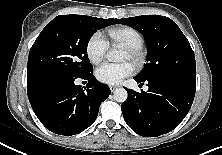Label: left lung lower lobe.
<instances>
[{
    "mask_svg": "<svg viewBox=\"0 0 222 155\" xmlns=\"http://www.w3.org/2000/svg\"><path fill=\"white\" fill-rule=\"evenodd\" d=\"M147 92L127 89L128 98L121 109L127 125L138 135L157 137L176 128L189 112L196 85L177 77L139 79Z\"/></svg>",
    "mask_w": 222,
    "mask_h": 155,
    "instance_id": "obj_1",
    "label": "left lung lower lobe"
}]
</instances>
